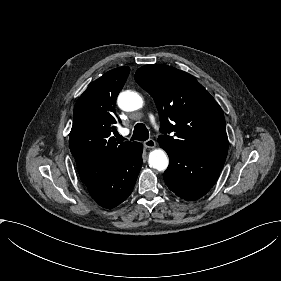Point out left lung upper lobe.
I'll use <instances>...</instances> for the list:
<instances>
[{"label":"left lung upper lobe","mask_w":281,"mask_h":281,"mask_svg":"<svg viewBox=\"0 0 281 281\" xmlns=\"http://www.w3.org/2000/svg\"><path fill=\"white\" fill-rule=\"evenodd\" d=\"M135 80L156 103L163 133L160 145L189 156L226 158L222 110L192 75L167 65H145L136 71Z\"/></svg>","instance_id":"5c2ea615"}]
</instances>
